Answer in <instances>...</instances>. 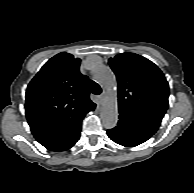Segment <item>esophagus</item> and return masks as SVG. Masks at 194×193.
I'll list each match as a JSON object with an SVG mask.
<instances>
[{
  "label": "esophagus",
  "mask_w": 194,
  "mask_h": 193,
  "mask_svg": "<svg viewBox=\"0 0 194 193\" xmlns=\"http://www.w3.org/2000/svg\"><path fill=\"white\" fill-rule=\"evenodd\" d=\"M104 98H105L104 94L100 95L99 96V102L102 103L104 101Z\"/></svg>",
  "instance_id": "34e87169"
}]
</instances>
